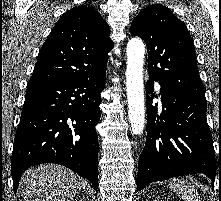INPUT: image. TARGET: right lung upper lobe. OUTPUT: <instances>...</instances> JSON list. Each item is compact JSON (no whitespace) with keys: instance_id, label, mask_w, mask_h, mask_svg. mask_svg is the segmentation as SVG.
Listing matches in <instances>:
<instances>
[{"instance_id":"cb5924a9","label":"right lung upper lobe","mask_w":221,"mask_h":201,"mask_svg":"<svg viewBox=\"0 0 221 201\" xmlns=\"http://www.w3.org/2000/svg\"><path fill=\"white\" fill-rule=\"evenodd\" d=\"M99 12L78 6L64 13L39 51L29 83H57L106 72L113 48Z\"/></svg>"}]
</instances>
